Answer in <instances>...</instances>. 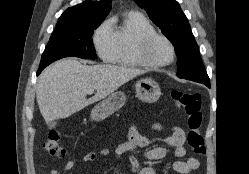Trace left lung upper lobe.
Here are the masks:
<instances>
[{
  "instance_id": "5c2ea615",
  "label": "left lung upper lobe",
  "mask_w": 249,
  "mask_h": 174,
  "mask_svg": "<svg viewBox=\"0 0 249 174\" xmlns=\"http://www.w3.org/2000/svg\"><path fill=\"white\" fill-rule=\"evenodd\" d=\"M174 45L179 78H208L188 19L175 0H134Z\"/></svg>"
}]
</instances>
